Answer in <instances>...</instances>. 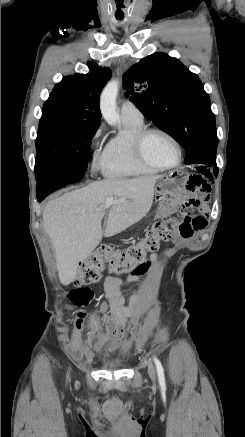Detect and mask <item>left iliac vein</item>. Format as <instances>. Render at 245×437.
<instances>
[{"label": "left iliac vein", "mask_w": 245, "mask_h": 437, "mask_svg": "<svg viewBox=\"0 0 245 437\" xmlns=\"http://www.w3.org/2000/svg\"><path fill=\"white\" fill-rule=\"evenodd\" d=\"M148 374L153 382H156V370L152 363H148Z\"/></svg>", "instance_id": "left-iliac-vein-1"}]
</instances>
